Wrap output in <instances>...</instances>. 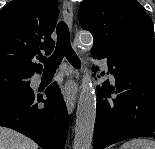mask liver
Segmentation results:
<instances>
[{
  "instance_id": "6515ba94",
  "label": "liver",
  "mask_w": 155,
  "mask_h": 149,
  "mask_svg": "<svg viewBox=\"0 0 155 149\" xmlns=\"http://www.w3.org/2000/svg\"><path fill=\"white\" fill-rule=\"evenodd\" d=\"M0 149H38V145L12 129L0 127Z\"/></svg>"
}]
</instances>
